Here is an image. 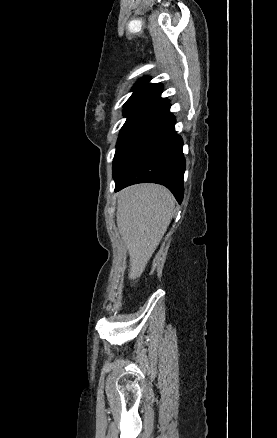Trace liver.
Masks as SVG:
<instances>
[{"label":"liver","instance_id":"liver-1","mask_svg":"<svg viewBox=\"0 0 277 438\" xmlns=\"http://www.w3.org/2000/svg\"><path fill=\"white\" fill-rule=\"evenodd\" d=\"M175 200L164 186L137 184L119 192L116 222L130 256V280L143 274L173 216Z\"/></svg>","mask_w":277,"mask_h":438}]
</instances>
